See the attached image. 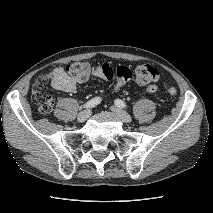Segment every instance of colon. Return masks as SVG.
<instances>
[{"mask_svg": "<svg viewBox=\"0 0 213 213\" xmlns=\"http://www.w3.org/2000/svg\"><path fill=\"white\" fill-rule=\"evenodd\" d=\"M67 73L78 82H85L95 77L104 76L108 80H116L115 89L119 90L132 77L141 85L150 87L158 81L159 71L150 64H141L133 68L128 66H119L116 69L100 67L88 62H74L67 67ZM48 76H42L33 86L32 99L38 105L39 111L48 113L52 109L53 100L45 92V86L48 82ZM167 92L171 96L177 95V89L172 86L167 87Z\"/></svg>", "mask_w": 213, "mask_h": 213, "instance_id": "5ec220e1", "label": "colon"}]
</instances>
